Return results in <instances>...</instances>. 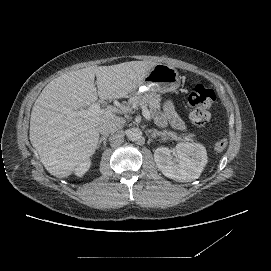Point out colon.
<instances>
[{
    "mask_svg": "<svg viewBox=\"0 0 271 271\" xmlns=\"http://www.w3.org/2000/svg\"><path fill=\"white\" fill-rule=\"evenodd\" d=\"M215 92L203 84H197L189 95L191 107L190 118L198 128H205L210 125V109L215 102ZM227 147V140L221 139L215 144V150L222 152Z\"/></svg>",
    "mask_w": 271,
    "mask_h": 271,
    "instance_id": "colon-1",
    "label": "colon"
}]
</instances>
